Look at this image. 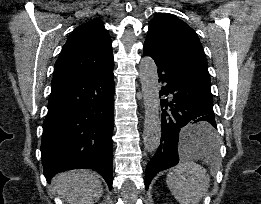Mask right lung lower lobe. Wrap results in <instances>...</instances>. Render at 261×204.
Masks as SVG:
<instances>
[{"mask_svg": "<svg viewBox=\"0 0 261 204\" xmlns=\"http://www.w3.org/2000/svg\"><path fill=\"white\" fill-rule=\"evenodd\" d=\"M113 67L52 83L41 144L48 181L61 171L90 168L112 188Z\"/></svg>", "mask_w": 261, "mask_h": 204, "instance_id": "right-lung-lower-lobe-1", "label": "right lung lower lobe"}]
</instances>
